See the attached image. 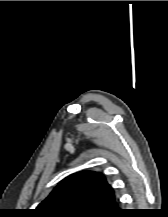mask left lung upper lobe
Instances as JSON below:
<instances>
[{
    "label": "left lung upper lobe",
    "mask_w": 168,
    "mask_h": 217,
    "mask_svg": "<svg viewBox=\"0 0 168 217\" xmlns=\"http://www.w3.org/2000/svg\"><path fill=\"white\" fill-rule=\"evenodd\" d=\"M115 200L103 174L81 171L62 180L34 212L39 217H101Z\"/></svg>",
    "instance_id": "5c2ea615"
}]
</instances>
